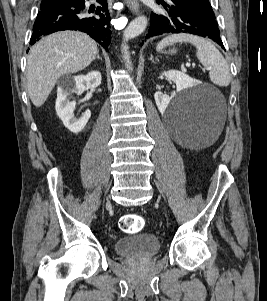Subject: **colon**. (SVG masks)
Segmentation results:
<instances>
[{
  "label": "colon",
  "mask_w": 267,
  "mask_h": 301,
  "mask_svg": "<svg viewBox=\"0 0 267 301\" xmlns=\"http://www.w3.org/2000/svg\"><path fill=\"white\" fill-rule=\"evenodd\" d=\"M145 226V220L142 216L134 213H128L123 215L119 221V227L126 233H138Z\"/></svg>",
  "instance_id": "obj_1"
}]
</instances>
